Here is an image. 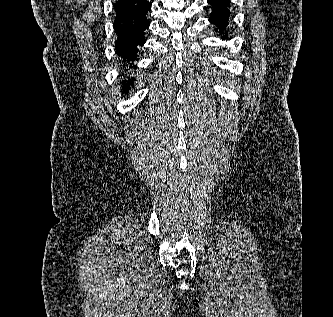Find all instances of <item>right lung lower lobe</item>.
I'll use <instances>...</instances> for the list:
<instances>
[{
	"instance_id": "right-lung-lower-lobe-1",
	"label": "right lung lower lobe",
	"mask_w": 333,
	"mask_h": 317,
	"mask_svg": "<svg viewBox=\"0 0 333 317\" xmlns=\"http://www.w3.org/2000/svg\"><path fill=\"white\" fill-rule=\"evenodd\" d=\"M150 9L148 0H117L114 4L113 27L117 36L115 48L124 62L136 60L137 46L145 43L144 31L150 26L146 14ZM122 83L125 84L123 91L129 92V82ZM130 84L134 85L133 82Z\"/></svg>"
}]
</instances>
